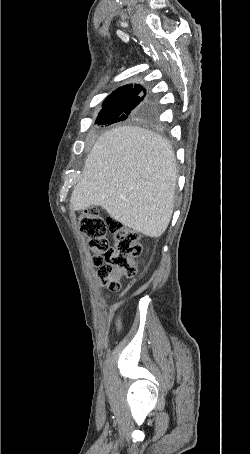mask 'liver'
<instances>
[{
  "instance_id": "liver-1",
  "label": "liver",
  "mask_w": 250,
  "mask_h": 454,
  "mask_svg": "<svg viewBox=\"0 0 250 454\" xmlns=\"http://www.w3.org/2000/svg\"><path fill=\"white\" fill-rule=\"evenodd\" d=\"M176 183L168 140L144 128L122 126L95 142L70 206L76 211L100 206L121 224L157 238L171 220Z\"/></svg>"
}]
</instances>
